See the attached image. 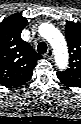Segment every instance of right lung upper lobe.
Segmentation results:
<instances>
[{"label": "right lung upper lobe", "instance_id": "1", "mask_svg": "<svg viewBox=\"0 0 81 124\" xmlns=\"http://www.w3.org/2000/svg\"><path fill=\"white\" fill-rule=\"evenodd\" d=\"M27 19L13 14L0 23V84L15 88L31 79L37 61L42 58L21 38Z\"/></svg>", "mask_w": 81, "mask_h": 124}]
</instances>
